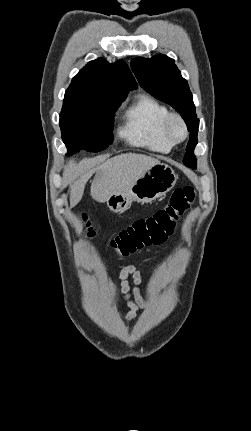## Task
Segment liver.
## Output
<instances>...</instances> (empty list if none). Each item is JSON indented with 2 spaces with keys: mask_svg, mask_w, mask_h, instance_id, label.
<instances>
[{
  "mask_svg": "<svg viewBox=\"0 0 251 431\" xmlns=\"http://www.w3.org/2000/svg\"><path fill=\"white\" fill-rule=\"evenodd\" d=\"M157 159L136 153L121 154L93 166L92 161L75 163L69 161L64 169V176L75 179L70 185V207L76 206L82 199L85 185L91 176V197L97 202H105L112 194L129 190L137 179L143 176Z\"/></svg>",
  "mask_w": 251,
  "mask_h": 431,
  "instance_id": "1",
  "label": "liver"
}]
</instances>
